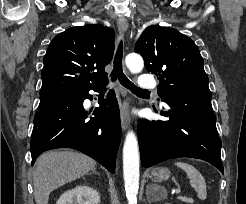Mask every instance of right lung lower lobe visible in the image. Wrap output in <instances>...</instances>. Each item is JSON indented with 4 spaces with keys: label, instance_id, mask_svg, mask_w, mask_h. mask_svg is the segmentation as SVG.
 Returning a JSON list of instances; mask_svg holds the SVG:
<instances>
[{
    "label": "right lung lower lobe",
    "instance_id": "98d812e1",
    "mask_svg": "<svg viewBox=\"0 0 246 204\" xmlns=\"http://www.w3.org/2000/svg\"><path fill=\"white\" fill-rule=\"evenodd\" d=\"M104 84L88 88L56 90L40 95L31 138L32 165L44 151L73 148L92 157L114 173L121 127L119 107L113 90L100 99L89 119L83 108L92 99L89 90L103 92Z\"/></svg>",
    "mask_w": 246,
    "mask_h": 204
}]
</instances>
